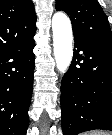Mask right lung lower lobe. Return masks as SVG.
Listing matches in <instances>:
<instances>
[{
  "label": "right lung lower lobe",
  "instance_id": "98d812e1",
  "mask_svg": "<svg viewBox=\"0 0 112 135\" xmlns=\"http://www.w3.org/2000/svg\"><path fill=\"white\" fill-rule=\"evenodd\" d=\"M33 36L0 54V135H26L34 79Z\"/></svg>",
  "mask_w": 112,
  "mask_h": 135
}]
</instances>
